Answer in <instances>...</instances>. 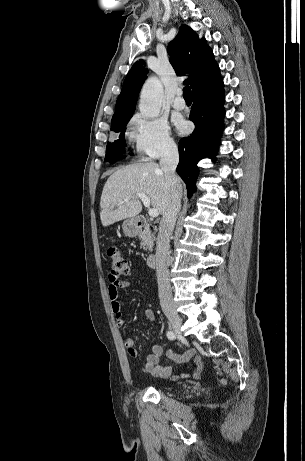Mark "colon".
Here are the masks:
<instances>
[{
	"label": "colon",
	"instance_id": "1",
	"mask_svg": "<svg viewBox=\"0 0 305 461\" xmlns=\"http://www.w3.org/2000/svg\"><path fill=\"white\" fill-rule=\"evenodd\" d=\"M107 254L111 262L110 274L113 277L117 278L118 276L126 275L129 273V265L118 248L109 247Z\"/></svg>",
	"mask_w": 305,
	"mask_h": 461
}]
</instances>
